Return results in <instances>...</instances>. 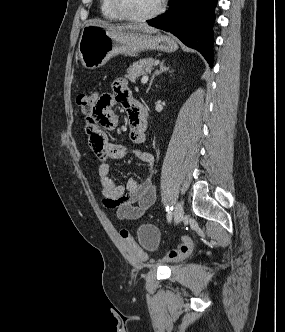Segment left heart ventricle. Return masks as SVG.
Returning a JSON list of instances; mask_svg holds the SVG:
<instances>
[{
  "label": "left heart ventricle",
  "mask_w": 285,
  "mask_h": 332,
  "mask_svg": "<svg viewBox=\"0 0 285 332\" xmlns=\"http://www.w3.org/2000/svg\"><path fill=\"white\" fill-rule=\"evenodd\" d=\"M125 10L137 16H142L153 12L160 0H120Z\"/></svg>",
  "instance_id": "1"
}]
</instances>
